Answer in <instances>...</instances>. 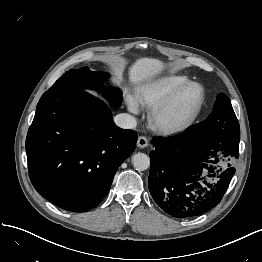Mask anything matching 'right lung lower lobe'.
Returning <instances> with one entry per match:
<instances>
[{"mask_svg": "<svg viewBox=\"0 0 262 262\" xmlns=\"http://www.w3.org/2000/svg\"><path fill=\"white\" fill-rule=\"evenodd\" d=\"M137 138L117 127L107 104L84 90L47 91L26 138L30 180L58 207L88 211L107 195Z\"/></svg>", "mask_w": 262, "mask_h": 262, "instance_id": "obj_1", "label": "right lung lower lobe"}]
</instances>
